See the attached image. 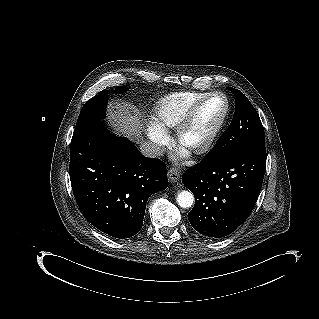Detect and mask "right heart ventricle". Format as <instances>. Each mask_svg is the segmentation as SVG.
<instances>
[{
  "label": "right heart ventricle",
  "mask_w": 319,
  "mask_h": 319,
  "mask_svg": "<svg viewBox=\"0 0 319 319\" xmlns=\"http://www.w3.org/2000/svg\"><path fill=\"white\" fill-rule=\"evenodd\" d=\"M204 95L205 93L197 91H181L168 94L154 106L152 119L162 129L175 128L190 108Z\"/></svg>",
  "instance_id": "e07e8e85"
}]
</instances>
